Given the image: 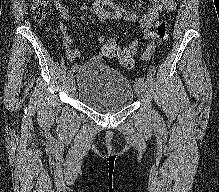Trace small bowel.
Segmentation results:
<instances>
[{"label":"small bowel","instance_id":"obj_1","mask_svg":"<svg viewBox=\"0 0 219 192\" xmlns=\"http://www.w3.org/2000/svg\"><path fill=\"white\" fill-rule=\"evenodd\" d=\"M110 0H96L94 3L95 12L101 17L102 20H117L123 19L129 22H135L142 32L145 39L149 40L151 38V31L154 23L159 18L161 13H170L176 9V3L174 0H149L150 5L144 9V12L141 16H138L134 12L127 10L123 7H116L115 12H108L103 9L104 3H109ZM136 3L141 6L140 0H136ZM54 7L62 20L65 22L71 21V13L65 7L61 0H54ZM60 31L62 32L63 46L66 51V57L68 61L75 62L80 56L81 51L78 49H71L70 45L75 42L68 32L66 26L60 22L59 24ZM98 42L104 41L103 37L97 39ZM133 44H137L136 41ZM152 52H146L142 55L143 59H149ZM95 60V58H93ZM77 65L74 66V69H77Z\"/></svg>","mask_w":219,"mask_h":192}]
</instances>
